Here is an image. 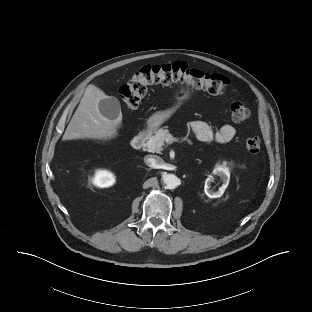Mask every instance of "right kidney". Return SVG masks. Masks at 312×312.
Instances as JSON below:
<instances>
[{
	"label": "right kidney",
	"mask_w": 312,
	"mask_h": 312,
	"mask_svg": "<svg viewBox=\"0 0 312 312\" xmlns=\"http://www.w3.org/2000/svg\"><path fill=\"white\" fill-rule=\"evenodd\" d=\"M114 183V175L106 170L97 171L93 178V184L101 188L112 186Z\"/></svg>",
	"instance_id": "obj_1"
}]
</instances>
